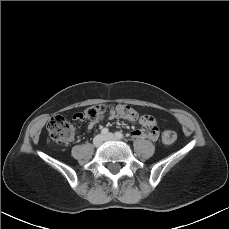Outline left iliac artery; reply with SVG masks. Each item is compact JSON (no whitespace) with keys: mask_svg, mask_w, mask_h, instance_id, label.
I'll return each mask as SVG.
<instances>
[{"mask_svg":"<svg viewBox=\"0 0 229 229\" xmlns=\"http://www.w3.org/2000/svg\"><path fill=\"white\" fill-rule=\"evenodd\" d=\"M115 136L117 137V138H123L124 137V135H123V133L122 132H115Z\"/></svg>","mask_w":229,"mask_h":229,"instance_id":"44dca946","label":"left iliac artery"}]
</instances>
